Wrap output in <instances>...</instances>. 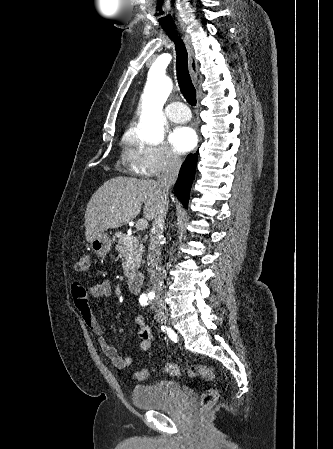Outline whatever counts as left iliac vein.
<instances>
[{
	"mask_svg": "<svg viewBox=\"0 0 333 449\" xmlns=\"http://www.w3.org/2000/svg\"><path fill=\"white\" fill-rule=\"evenodd\" d=\"M159 318L162 321V323H167L168 322V314L166 312V309L163 308L160 313H159Z\"/></svg>",
	"mask_w": 333,
	"mask_h": 449,
	"instance_id": "obj_1",
	"label": "left iliac vein"
}]
</instances>
